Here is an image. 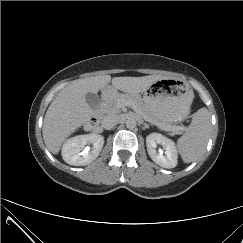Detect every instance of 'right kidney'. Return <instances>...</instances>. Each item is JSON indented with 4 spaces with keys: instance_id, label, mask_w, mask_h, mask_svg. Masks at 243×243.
<instances>
[{
    "instance_id": "ca27d5eb",
    "label": "right kidney",
    "mask_w": 243,
    "mask_h": 243,
    "mask_svg": "<svg viewBox=\"0 0 243 243\" xmlns=\"http://www.w3.org/2000/svg\"><path fill=\"white\" fill-rule=\"evenodd\" d=\"M92 144V147L86 146ZM104 145L99 134L78 135L69 138L62 146V158L69 165L85 166L94 161Z\"/></svg>"
}]
</instances>
